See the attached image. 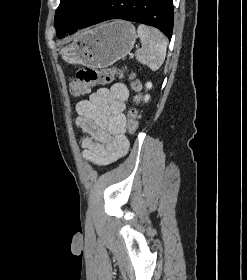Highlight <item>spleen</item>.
I'll return each mask as SVG.
<instances>
[{
	"label": "spleen",
	"instance_id": "spleen-1",
	"mask_svg": "<svg viewBox=\"0 0 247 280\" xmlns=\"http://www.w3.org/2000/svg\"><path fill=\"white\" fill-rule=\"evenodd\" d=\"M137 32L142 47L136 51V59L152 71L158 70L166 56V37L158 29L144 24L138 26Z\"/></svg>",
	"mask_w": 247,
	"mask_h": 280
}]
</instances>
